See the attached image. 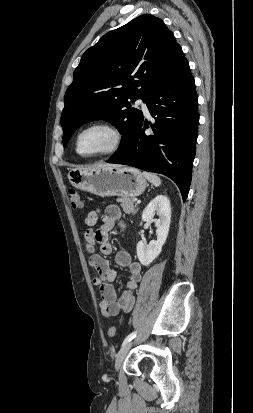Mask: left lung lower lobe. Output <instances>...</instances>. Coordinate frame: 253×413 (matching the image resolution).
I'll use <instances>...</instances> for the list:
<instances>
[{"instance_id": "1", "label": "left lung lower lobe", "mask_w": 253, "mask_h": 413, "mask_svg": "<svg viewBox=\"0 0 253 413\" xmlns=\"http://www.w3.org/2000/svg\"><path fill=\"white\" fill-rule=\"evenodd\" d=\"M146 103L155 118L153 134H145L148 125L142 118L131 143L106 162L163 174L177 184L185 201L192 177L199 115L195 81L181 47Z\"/></svg>"}]
</instances>
